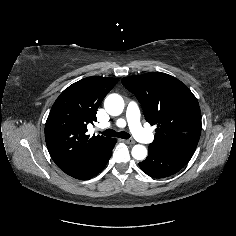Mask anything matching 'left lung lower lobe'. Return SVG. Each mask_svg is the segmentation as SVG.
I'll return each mask as SVG.
<instances>
[{"mask_svg":"<svg viewBox=\"0 0 236 236\" xmlns=\"http://www.w3.org/2000/svg\"><path fill=\"white\" fill-rule=\"evenodd\" d=\"M193 154L191 151H165L149 147L148 157L139 166L151 177L164 178L182 169Z\"/></svg>","mask_w":236,"mask_h":236,"instance_id":"0a47b994","label":"left lung lower lobe"}]
</instances>
